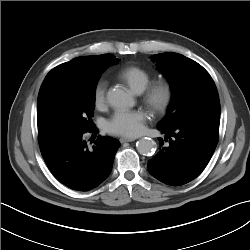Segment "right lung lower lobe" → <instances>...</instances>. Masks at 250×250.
<instances>
[{"mask_svg": "<svg viewBox=\"0 0 250 250\" xmlns=\"http://www.w3.org/2000/svg\"><path fill=\"white\" fill-rule=\"evenodd\" d=\"M39 146L45 163L57 180L70 189L89 191L111 173L120 142L109 136H98L89 147L84 133H80L42 139Z\"/></svg>", "mask_w": 250, "mask_h": 250, "instance_id": "98d812e1", "label": "right lung lower lobe"}]
</instances>
